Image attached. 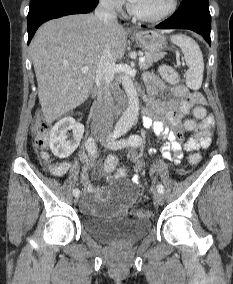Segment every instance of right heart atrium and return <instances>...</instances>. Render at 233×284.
Here are the masks:
<instances>
[{
	"label": "right heart atrium",
	"instance_id": "d8ad5b80",
	"mask_svg": "<svg viewBox=\"0 0 233 284\" xmlns=\"http://www.w3.org/2000/svg\"><path fill=\"white\" fill-rule=\"evenodd\" d=\"M100 2L108 9L118 10L123 4L124 0H100Z\"/></svg>",
	"mask_w": 233,
	"mask_h": 284
}]
</instances>
